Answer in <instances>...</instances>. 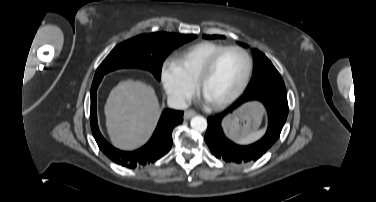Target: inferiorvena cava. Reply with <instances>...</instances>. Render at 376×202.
Returning a JSON list of instances; mask_svg holds the SVG:
<instances>
[{"instance_id":"inferior-vena-cava-1","label":"inferior vena cava","mask_w":376,"mask_h":202,"mask_svg":"<svg viewBox=\"0 0 376 202\" xmlns=\"http://www.w3.org/2000/svg\"><path fill=\"white\" fill-rule=\"evenodd\" d=\"M167 105L168 107L177 110H185L188 108L186 100L181 96H168Z\"/></svg>"}]
</instances>
